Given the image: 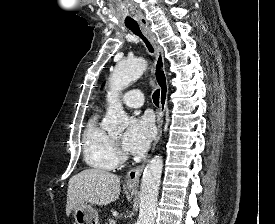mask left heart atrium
I'll return each instance as SVG.
<instances>
[{
    "instance_id": "39dd6f15",
    "label": "left heart atrium",
    "mask_w": 275,
    "mask_h": 224,
    "mask_svg": "<svg viewBox=\"0 0 275 224\" xmlns=\"http://www.w3.org/2000/svg\"><path fill=\"white\" fill-rule=\"evenodd\" d=\"M155 136L153 121L148 116L133 117L123 136V147L132 154L144 153Z\"/></svg>"
}]
</instances>
